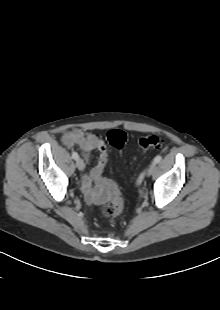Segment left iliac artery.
Masks as SVG:
<instances>
[{"label":"left iliac artery","instance_id":"1","mask_svg":"<svg viewBox=\"0 0 220 310\" xmlns=\"http://www.w3.org/2000/svg\"><path fill=\"white\" fill-rule=\"evenodd\" d=\"M161 159H162V156H160V155H157L155 158H154V163L155 164H157V163H159L160 161H161ZM141 181H142V177H140L138 180H137V184L139 185L140 183H141Z\"/></svg>","mask_w":220,"mask_h":310}]
</instances>
